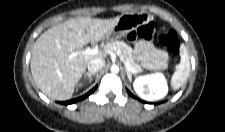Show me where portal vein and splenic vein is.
<instances>
[{"mask_svg":"<svg viewBox=\"0 0 225 132\" xmlns=\"http://www.w3.org/2000/svg\"><path fill=\"white\" fill-rule=\"evenodd\" d=\"M100 51L96 48H88L82 52H77V53H74L73 56L77 55V54H85V55H96V54H99ZM124 62V65L126 67V69H128L129 71H132V72H135V70L127 63L125 62L124 60H122Z\"/></svg>","mask_w":225,"mask_h":132,"instance_id":"obj_1","label":"portal vein and splenic vein"}]
</instances>
